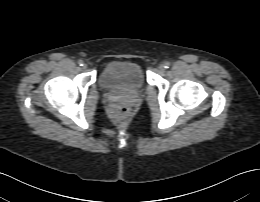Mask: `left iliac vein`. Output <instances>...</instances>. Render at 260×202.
I'll use <instances>...</instances> for the list:
<instances>
[{
  "label": "left iliac vein",
  "instance_id": "1",
  "mask_svg": "<svg viewBox=\"0 0 260 202\" xmlns=\"http://www.w3.org/2000/svg\"><path fill=\"white\" fill-rule=\"evenodd\" d=\"M158 68H159V70H160L161 72H163V71L165 70V67H164L163 64H160Z\"/></svg>",
  "mask_w": 260,
  "mask_h": 202
}]
</instances>
